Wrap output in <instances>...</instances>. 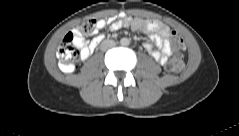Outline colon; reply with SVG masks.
<instances>
[{"mask_svg": "<svg viewBox=\"0 0 239 136\" xmlns=\"http://www.w3.org/2000/svg\"><path fill=\"white\" fill-rule=\"evenodd\" d=\"M96 28L97 20L87 19L78 24L76 33L70 32L64 37L58 49V59L61 68L65 72H72L75 69L79 57L80 45L76 41V35H91ZM171 47L175 54L166 63V70L171 73H178L184 66L182 52L185 49V42L176 32H172Z\"/></svg>", "mask_w": 239, "mask_h": 136, "instance_id": "5ec220e1", "label": "colon"}]
</instances>
